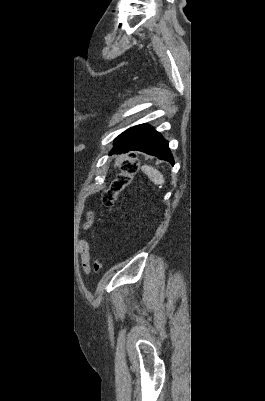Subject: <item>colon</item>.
I'll use <instances>...</instances> for the list:
<instances>
[{"label": "colon", "mask_w": 265, "mask_h": 401, "mask_svg": "<svg viewBox=\"0 0 265 401\" xmlns=\"http://www.w3.org/2000/svg\"><path fill=\"white\" fill-rule=\"evenodd\" d=\"M138 162L136 155L132 154L126 159L117 174L116 178L112 181L108 189H106L101 197L102 204L107 209L114 208L119 194L128 187L135 175L138 172ZM102 269V264L99 259H95L93 263V270L98 273Z\"/></svg>", "instance_id": "1"}]
</instances>
